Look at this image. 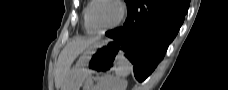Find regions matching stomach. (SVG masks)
<instances>
[{"label":"stomach","mask_w":228,"mask_h":90,"mask_svg":"<svg viewBox=\"0 0 228 90\" xmlns=\"http://www.w3.org/2000/svg\"><path fill=\"white\" fill-rule=\"evenodd\" d=\"M111 40H101L89 47L69 70L63 90H80L83 82L93 73L108 68H115L121 54Z\"/></svg>","instance_id":"stomach-1"}]
</instances>
